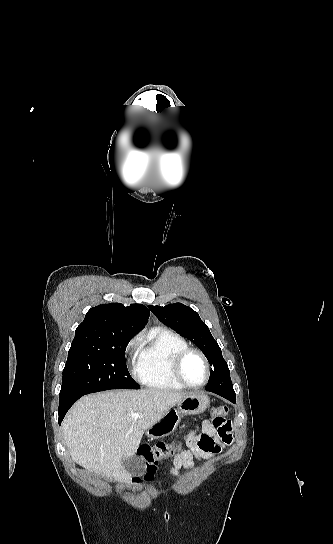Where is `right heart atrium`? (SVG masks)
Segmentation results:
<instances>
[{"label": "right heart atrium", "mask_w": 333, "mask_h": 544, "mask_svg": "<svg viewBox=\"0 0 333 544\" xmlns=\"http://www.w3.org/2000/svg\"><path fill=\"white\" fill-rule=\"evenodd\" d=\"M138 345V338H134L132 339L126 346V354L129 356V357H133V353H134V350L135 348L137 347Z\"/></svg>", "instance_id": "right-heart-atrium-1"}]
</instances>
